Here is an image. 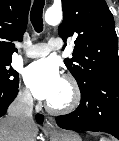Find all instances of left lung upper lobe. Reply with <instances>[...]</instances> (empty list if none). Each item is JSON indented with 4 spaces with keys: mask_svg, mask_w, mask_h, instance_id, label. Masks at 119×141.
Wrapping results in <instances>:
<instances>
[{
    "mask_svg": "<svg viewBox=\"0 0 119 141\" xmlns=\"http://www.w3.org/2000/svg\"><path fill=\"white\" fill-rule=\"evenodd\" d=\"M62 8L58 33L63 40L75 39L73 57L65 65L80 91L102 78H119L115 23L105 0H62Z\"/></svg>",
    "mask_w": 119,
    "mask_h": 141,
    "instance_id": "left-lung-upper-lobe-1",
    "label": "left lung upper lobe"
}]
</instances>
